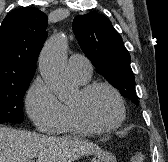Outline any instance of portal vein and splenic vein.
<instances>
[{"mask_svg":"<svg viewBox=\"0 0 168 162\" xmlns=\"http://www.w3.org/2000/svg\"><path fill=\"white\" fill-rule=\"evenodd\" d=\"M29 162H34L33 160H30Z\"/></svg>","mask_w":168,"mask_h":162,"instance_id":"18ae733b","label":"portal vein and splenic vein"}]
</instances>
